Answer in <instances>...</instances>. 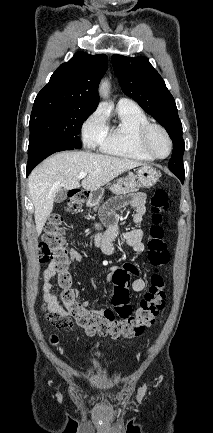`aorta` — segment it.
<instances>
[{"label":"aorta","mask_w":213,"mask_h":433,"mask_svg":"<svg viewBox=\"0 0 213 433\" xmlns=\"http://www.w3.org/2000/svg\"><path fill=\"white\" fill-rule=\"evenodd\" d=\"M99 93L101 97L107 98L109 96V82L102 81L99 87Z\"/></svg>","instance_id":"obj_1"}]
</instances>
